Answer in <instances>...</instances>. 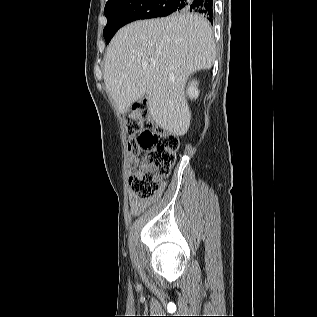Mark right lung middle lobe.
Wrapping results in <instances>:
<instances>
[{"instance_id":"1","label":"right lung middle lobe","mask_w":317,"mask_h":317,"mask_svg":"<svg viewBox=\"0 0 317 317\" xmlns=\"http://www.w3.org/2000/svg\"><path fill=\"white\" fill-rule=\"evenodd\" d=\"M173 2L174 0H108L104 9L107 25L103 35L106 42L109 43L114 34L127 23L178 12Z\"/></svg>"}]
</instances>
